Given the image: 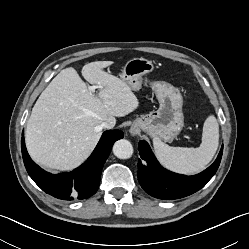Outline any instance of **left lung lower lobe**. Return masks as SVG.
<instances>
[{
    "label": "left lung lower lobe",
    "mask_w": 249,
    "mask_h": 249,
    "mask_svg": "<svg viewBox=\"0 0 249 249\" xmlns=\"http://www.w3.org/2000/svg\"><path fill=\"white\" fill-rule=\"evenodd\" d=\"M138 150L141 157L138 162V180L141 187L155 198L171 200L191 195L206 185L219 167L223 146L215 162L193 176L176 174L162 168L144 141L139 142Z\"/></svg>",
    "instance_id": "0a47b994"
}]
</instances>
